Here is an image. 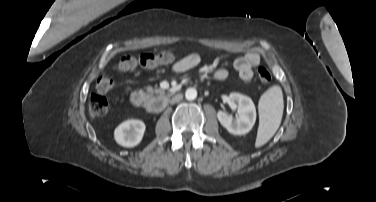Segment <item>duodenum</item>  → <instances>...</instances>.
I'll use <instances>...</instances> for the list:
<instances>
[{"mask_svg":"<svg viewBox=\"0 0 376 202\" xmlns=\"http://www.w3.org/2000/svg\"><path fill=\"white\" fill-rule=\"evenodd\" d=\"M171 96H156L151 99H147L143 92L134 91L130 96L131 104L138 108L150 113H156L162 110L170 101Z\"/></svg>","mask_w":376,"mask_h":202,"instance_id":"1","label":"duodenum"}]
</instances>
